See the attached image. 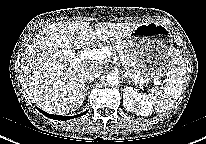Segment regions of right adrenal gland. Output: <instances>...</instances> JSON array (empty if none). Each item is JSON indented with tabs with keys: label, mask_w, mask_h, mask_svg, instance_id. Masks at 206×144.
<instances>
[{
	"label": "right adrenal gland",
	"mask_w": 206,
	"mask_h": 144,
	"mask_svg": "<svg viewBox=\"0 0 206 144\" xmlns=\"http://www.w3.org/2000/svg\"><path fill=\"white\" fill-rule=\"evenodd\" d=\"M89 82H91V81H89ZM88 89H89V86H88V85H86V90H85V91L87 92V90H88Z\"/></svg>",
	"instance_id": "obj_1"
}]
</instances>
